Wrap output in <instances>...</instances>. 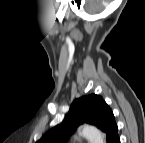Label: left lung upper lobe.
Masks as SVG:
<instances>
[{
  "label": "left lung upper lobe",
  "instance_id": "1",
  "mask_svg": "<svg viewBox=\"0 0 145 143\" xmlns=\"http://www.w3.org/2000/svg\"><path fill=\"white\" fill-rule=\"evenodd\" d=\"M89 123L106 133L107 143L118 136V128L112 110L102 97L90 94L76 99L69 110L65 121L49 130L38 143H62L77 126Z\"/></svg>",
  "mask_w": 145,
  "mask_h": 143
}]
</instances>
